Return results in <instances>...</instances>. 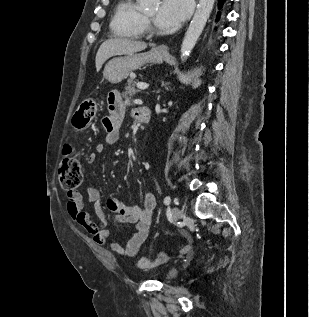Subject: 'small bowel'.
<instances>
[{
  "mask_svg": "<svg viewBox=\"0 0 309 317\" xmlns=\"http://www.w3.org/2000/svg\"><path fill=\"white\" fill-rule=\"evenodd\" d=\"M108 115L102 120L105 130V140L96 145L87 158L89 164L95 163L107 146H115L120 139L119 129L124 119L126 102L119 92L111 91L107 99ZM133 116L138 119V108L133 109ZM100 191L95 186L87 188L85 194L78 191L67 193V212L72 220L82 227L99 246H105L111 239L108 230L109 220L100 205ZM84 201L98 204L97 215L99 220L93 221L84 208ZM155 197L151 192H144L141 206L127 205L116 198L107 202V208L115 214L114 220L122 224H135V231L129 236L125 246L110 241V250L117 255L133 256L146 239L151 224L152 212L155 208Z\"/></svg>",
  "mask_w": 309,
  "mask_h": 317,
  "instance_id": "small-bowel-1",
  "label": "small bowel"
}]
</instances>
